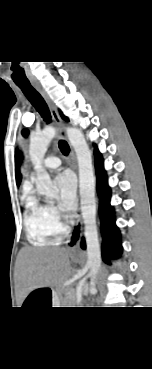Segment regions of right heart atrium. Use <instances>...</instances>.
I'll return each instance as SVG.
<instances>
[{
    "instance_id": "right-heart-atrium-1",
    "label": "right heart atrium",
    "mask_w": 152,
    "mask_h": 369,
    "mask_svg": "<svg viewBox=\"0 0 152 369\" xmlns=\"http://www.w3.org/2000/svg\"><path fill=\"white\" fill-rule=\"evenodd\" d=\"M49 212H50V216H51L52 221L54 222V224L59 229H63V226H62V223H61V214H60V211L58 210V208H56L53 205H49Z\"/></svg>"
}]
</instances>
